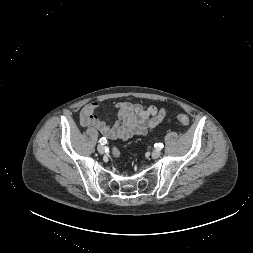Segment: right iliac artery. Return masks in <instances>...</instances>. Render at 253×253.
Returning a JSON list of instances; mask_svg holds the SVG:
<instances>
[{
    "instance_id": "82829eb1",
    "label": "right iliac artery",
    "mask_w": 253,
    "mask_h": 253,
    "mask_svg": "<svg viewBox=\"0 0 253 253\" xmlns=\"http://www.w3.org/2000/svg\"><path fill=\"white\" fill-rule=\"evenodd\" d=\"M99 142L101 145H105L107 143V140L105 137H103V138H100Z\"/></svg>"
}]
</instances>
